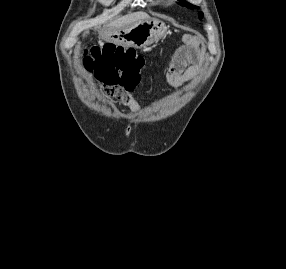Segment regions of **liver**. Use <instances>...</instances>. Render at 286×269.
Wrapping results in <instances>:
<instances>
[{
  "mask_svg": "<svg viewBox=\"0 0 286 269\" xmlns=\"http://www.w3.org/2000/svg\"><path fill=\"white\" fill-rule=\"evenodd\" d=\"M142 20H151L150 16L143 12H137L119 17L113 21L108 27L112 29L127 28L136 22Z\"/></svg>",
  "mask_w": 286,
  "mask_h": 269,
  "instance_id": "6515ba94",
  "label": "liver"
}]
</instances>
